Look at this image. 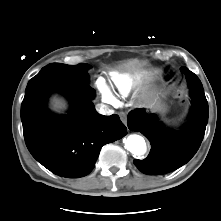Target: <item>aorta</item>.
Masks as SVG:
<instances>
[{"label": "aorta", "instance_id": "aorta-1", "mask_svg": "<svg viewBox=\"0 0 221 221\" xmlns=\"http://www.w3.org/2000/svg\"><path fill=\"white\" fill-rule=\"evenodd\" d=\"M126 148L134 155H143L147 150L144 138L137 134L129 135L125 141Z\"/></svg>", "mask_w": 221, "mask_h": 221}]
</instances>
